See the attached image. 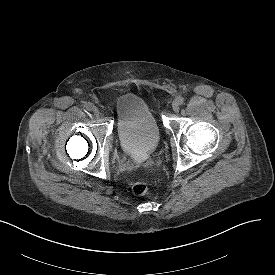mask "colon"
Here are the masks:
<instances>
[{"label": "colon", "mask_w": 275, "mask_h": 275, "mask_svg": "<svg viewBox=\"0 0 275 275\" xmlns=\"http://www.w3.org/2000/svg\"><path fill=\"white\" fill-rule=\"evenodd\" d=\"M149 189L148 182L145 180H139L132 186V191L137 196H144Z\"/></svg>", "instance_id": "obj_1"}]
</instances>
